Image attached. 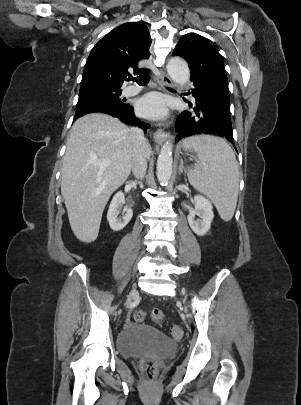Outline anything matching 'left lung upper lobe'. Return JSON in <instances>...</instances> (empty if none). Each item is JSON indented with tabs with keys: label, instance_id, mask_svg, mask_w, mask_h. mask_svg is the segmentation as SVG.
Masks as SVG:
<instances>
[{
	"label": "left lung upper lobe",
	"instance_id": "left-lung-upper-lobe-1",
	"mask_svg": "<svg viewBox=\"0 0 301 405\" xmlns=\"http://www.w3.org/2000/svg\"><path fill=\"white\" fill-rule=\"evenodd\" d=\"M173 55L181 56L188 62L191 81H198L215 96L230 101L222 58L204 37L196 33L185 34L176 45Z\"/></svg>",
	"mask_w": 301,
	"mask_h": 405
}]
</instances>
